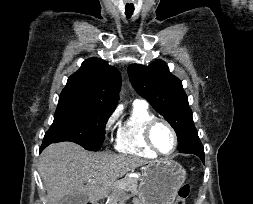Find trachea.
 Masks as SVG:
<instances>
[{
    "label": "trachea",
    "mask_w": 253,
    "mask_h": 204,
    "mask_svg": "<svg viewBox=\"0 0 253 204\" xmlns=\"http://www.w3.org/2000/svg\"><path fill=\"white\" fill-rule=\"evenodd\" d=\"M134 12V5L133 4H126L125 6V15L128 19L131 18Z\"/></svg>",
    "instance_id": "1"
}]
</instances>
